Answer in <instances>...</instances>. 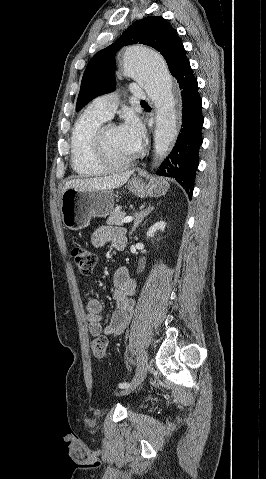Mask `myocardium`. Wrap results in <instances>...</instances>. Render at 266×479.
Instances as JSON below:
<instances>
[{"mask_svg":"<svg viewBox=\"0 0 266 479\" xmlns=\"http://www.w3.org/2000/svg\"><path fill=\"white\" fill-rule=\"evenodd\" d=\"M111 128H117L113 124L101 125L95 132L94 142H93V155L96 162L102 166L106 171H120L129 167L133 158L130 157L128 160L120 163L113 162L107 155L106 145H105V135L106 131Z\"/></svg>","mask_w":266,"mask_h":479,"instance_id":"myocardium-1","label":"myocardium"}]
</instances>
